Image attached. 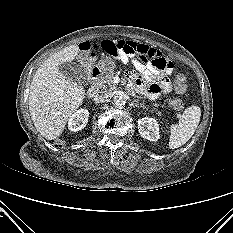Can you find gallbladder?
<instances>
[{"label":"gallbladder","mask_w":233,"mask_h":233,"mask_svg":"<svg viewBox=\"0 0 233 233\" xmlns=\"http://www.w3.org/2000/svg\"><path fill=\"white\" fill-rule=\"evenodd\" d=\"M59 72L63 74L67 79L84 83L87 78V71L81 65L75 62H64L59 65Z\"/></svg>","instance_id":"obj_1"}]
</instances>
